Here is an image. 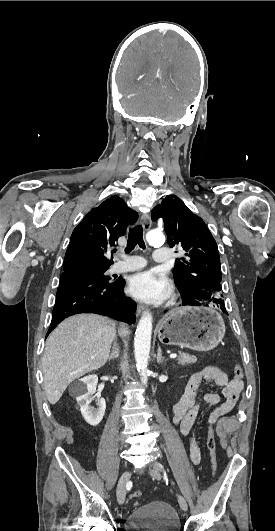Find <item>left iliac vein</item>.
<instances>
[{
	"instance_id": "left-iliac-vein-1",
	"label": "left iliac vein",
	"mask_w": 275,
	"mask_h": 531,
	"mask_svg": "<svg viewBox=\"0 0 275 531\" xmlns=\"http://www.w3.org/2000/svg\"><path fill=\"white\" fill-rule=\"evenodd\" d=\"M161 472H164L163 465L160 462L155 461L152 465V468L150 469L151 476L156 480H160ZM178 502L182 510L186 511L188 509V504H187L186 499L180 494L178 495Z\"/></svg>"
}]
</instances>
